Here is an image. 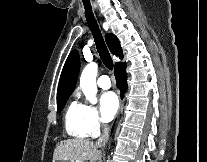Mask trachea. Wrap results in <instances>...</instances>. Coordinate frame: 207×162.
<instances>
[{
    "label": "trachea",
    "mask_w": 207,
    "mask_h": 162,
    "mask_svg": "<svg viewBox=\"0 0 207 162\" xmlns=\"http://www.w3.org/2000/svg\"><path fill=\"white\" fill-rule=\"evenodd\" d=\"M84 7H85V13H86V19L89 25V28L93 34L95 44L97 47V51L100 55V58L107 69L112 70L113 69V61L109 54V51L105 45L104 39L102 37V34L100 32V29L98 27V24L95 20V17L93 16L91 4L89 0H82Z\"/></svg>",
    "instance_id": "obj_1"
}]
</instances>
